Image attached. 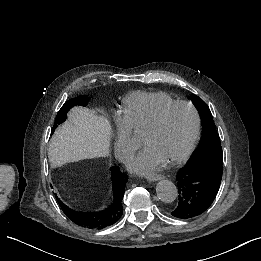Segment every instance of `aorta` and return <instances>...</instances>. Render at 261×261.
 I'll return each mask as SVG.
<instances>
[{
    "label": "aorta",
    "mask_w": 261,
    "mask_h": 261,
    "mask_svg": "<svg viewBox=\"0 0 261 261\" xmlns=\"http://www.w3.org/2000/svg\"><path fill=\"white\" fill-rule=\"evenodd\" d=\"M156 194L162 202L172 203L178 196V189L173 182L161 180L156 185Z\"/></svg>",
    "instance_id": "aorta-1"
}]
</instances>
